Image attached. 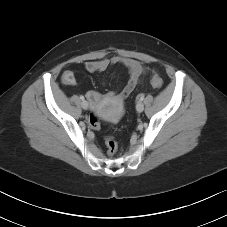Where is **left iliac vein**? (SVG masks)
Returning <instances> with one entry per match:
<instances>
[{"mask_svg":"<svg viewBox=\"0 0 227 227\" xmlns=\"http://www.w3.org/2000/svg\"><path fill=\"white\" fill-rule=\"evenodd\" d=\"M136 110L138 111V112H142L143 110H144V105H143V103L142 102H138L137 103V105H136Z\"/></svg>","mask_w":227,"mask_h":227,"instance_id":"1","label":"left iliac vein"}]
</instances>
